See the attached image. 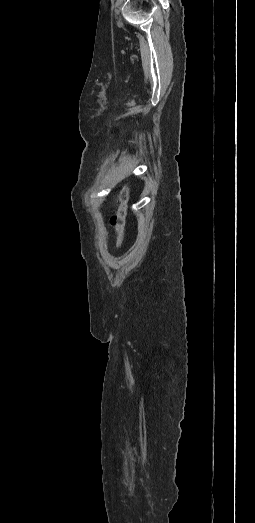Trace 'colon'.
Wrapping results in <instances>:
<instances>
[{
	"label": "colon",
	"instance_id": "1",
	"mask_svg": "<svg viewBox=\"0 0 255 523\" xmlns=\"http://www.w3.org/2000/svg\"><path fill=\"white\" fill-rule=\"evenodd\" d=\"M117 209L111 217V224L114 226L117 232V245L120 246L124 240L127 222L126 216L128 211V191L126 188L120 190L116 198Z\"/></svg>",
	"mask_w": 255,
	"mask_h": 523
}]
</instances>
